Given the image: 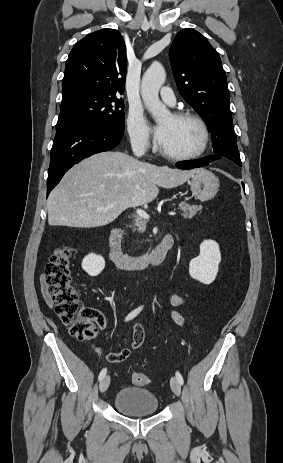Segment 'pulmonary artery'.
<instances>
[{"instance_id":"1","label":"pulmonary artery","mask_w":283,"mask_h":463,"mask_svg":"<svg viewBox=\"0 0 283 463\" xmlns=\"http://www.w3.org/2000/svg\"><path fill=\"white\" fill-rule=\"evenodd\" d=\"M160 96L168 105L173 106L175 104L176 98L170 87H163L160 91Z\"/></svg>"}]
</instances>
